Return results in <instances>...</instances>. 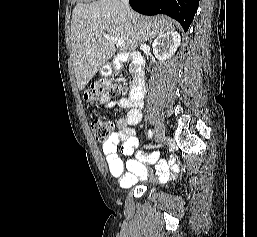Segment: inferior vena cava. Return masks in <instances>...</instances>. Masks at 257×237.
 Here are the masks:
<instances>
[{
    "mask_svg": "<svg viewBox=\"0 0 257 237\" xmlns=\"http://www.w3.org/2000/svg\"><path fill=\"white\" fill-rule=\"evenodd\" d=\"M121 2L125 7L127 15L131 16V9H130V5H129V0H121ZM143 46H144V44L142 42H140V47H143Z\"/></svg>",
    "mask_w": 257,
    "mask_h": 237,
    "instance_id": "inferior-vena-cava-1",
    "label": "inferior vena cava"
}]
</instances>
